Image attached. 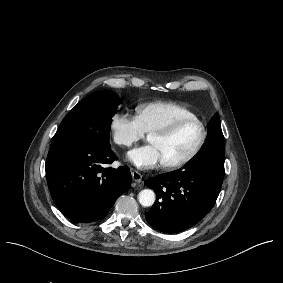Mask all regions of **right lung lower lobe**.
<instances>
[{
    "instance_id": "right-lung-lower-lobe-1",
    "label": "right lung lower lobe",
    "mask_w": 283,
    "mask_h": 283,
    "mask_svg": "<svg viewBox=\"0 0 283 283\" xmlns=\"http://www.w3.org/2000/svg\"><path fill=\"white\" fill-rule=\"evenodd\" d=\"M117 156L91 143L51 144L46 160L47 183L58 209L69 219L89 223L104 218L132 180L127 166L104 168Z\"/></svg>"
}]
</instances>
